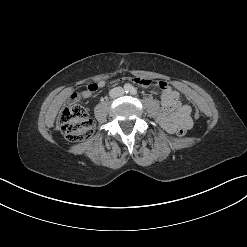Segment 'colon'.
I'll return each instance as SVG.
<instances>
[{
  "label": "colon",
  "mask_w": 247,
  "mask_h": 247,
  "mask_svg": "<svg viewBox=\"0 0 247 247\" xmlns=\"http://www.w3.org/2000/svg\"><path fill=\"white\" fill-rule=\"evenodd\" d=\"M73 99L76 100L77 96L73 95ZM59 125L63 136L71 142L89 139L94 129L93 120L85 109L78 104H72L63 110L59 119ZM176 133L178 136H184L187 133V129L180 127Z\"/></svg>",
  "instance_id": "obj_1"
}]
</instances>
